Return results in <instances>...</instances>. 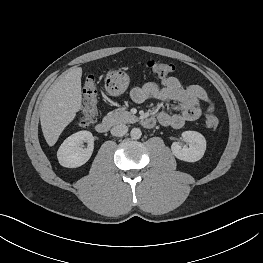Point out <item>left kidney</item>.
<instances>
[{
  "mask_svg": "<svg viewBox=\"0 0 263 263\" xmlns=\"http://www.w3.org/2000/svg\"><path fill=\"white\" fill-rule=\"evenodd\" d=\"M182 138L188 142V147H182L178 142H173L171 145L173 155L186 162H196L200 160L206 150L205 137L196 131H184Z\"/></svg>",
  "mask_w": 263,
  "mask_h": 263,
  "instance_id": "5707ae66",
  "label": "left kidney"
}]
</instances>
